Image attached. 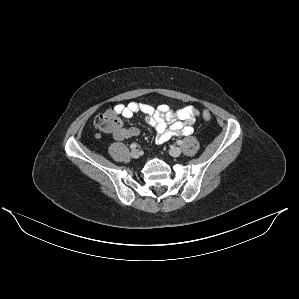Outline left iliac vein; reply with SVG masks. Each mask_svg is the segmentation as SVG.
Wrapping results in <instances>:
<instances>
[{
	"label": "left iliac vein",
	"mask_w": 299,
	"mask_h": 299,
	"mask_svg": "<svg viewBox=\"0 0 299 299\" xmlns=\"http://www.w3.org/2000/svg\"><path fill=\"white\" fill-rule=\"evenodd\" d=\"M169 153L173 157H179L181 155V149L179 147H171Z\"/></svg>",
	"instance_id": "left-iliac-vein-1"
}]
</instances>
